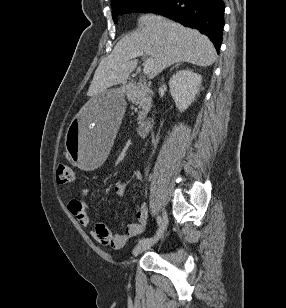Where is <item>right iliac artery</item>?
<instances>
[{
	"instance_id": "1",
	"label": "right iliac artery",
	"mask_w": 286,
	"mask_h": 308,
	"mask_svg": "<svg viewBox=\"0 0 286 308\" xmlns=\"http://www.w3.org/2000/svg\"><path fill=\"white\" fill-rule=\"evenodd\" d=\"M156 222H157L158 226H160V224H161V217H160V216L157 217ZM150 238H151V237H150ZM150 238H141V239L138 240V243H141V242H143V241H147V240H149Z\"/></svg>"
}]
</instances>
